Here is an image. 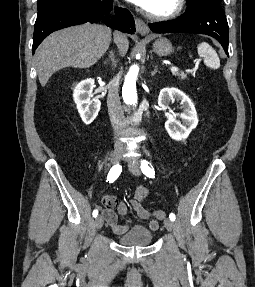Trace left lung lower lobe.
<instances>
[{"instance_id":"1","label":"left lung lower lobe","mask_w":255,"mask_h":287,"mask_svg":"<svg viewBox=\"0 0 255 287\" xmlns=\"http://www.w3.org/2000/svg\"><path fill=\"white\" fill-rule=\"evenodd\" d=\"M154 33H196L216 38L228 55L229 28L219 3L211 0H197L188 4L183 16L166 22L150 23Z\"/></svg>"}]
</instances>
